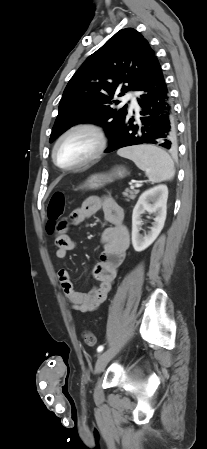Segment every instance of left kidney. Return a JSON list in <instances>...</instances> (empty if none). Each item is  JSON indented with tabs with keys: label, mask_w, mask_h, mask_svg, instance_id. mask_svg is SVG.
Instances as JSON below:
<instances>
[{
	"label": "left kidney",
	"mask_w": 207,
	"mask_h": 449,
	"mask_svg": "<svg viewBox=\"0 0 207 449\" xmlns=\"http://www.w3.org/2000/svg\"><path fill=\"white\" fill-rule=\"evenodd\" d=\"M168 188L158 185L143 192L132 214V245L137 252L148 248L158 237L164 227L167 214ZM145 211L154 214L151 230L144 236L139 234L142 224L141 214Z\"/></svg>",
	"instance_id": "1"
}]
</instances>
